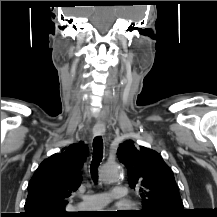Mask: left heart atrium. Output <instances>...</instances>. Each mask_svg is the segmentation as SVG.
Returning <instances> with one entry per match:
<instances>
[{"instance_id":"left-heart-atrium-1","label":"left heart atrium","mask_w":217,"mask_h":217,"mask_svg":"<svg viewBox=\"0 0 217 217\" xmlns=\"http://www.w3.org/2000/svg\"><path fill=\"white\" fill-rule=\"evenodd\" d=\"M117 213L116 211H108L103 213V217H117Z\"/></svg>"}]
</instances>
